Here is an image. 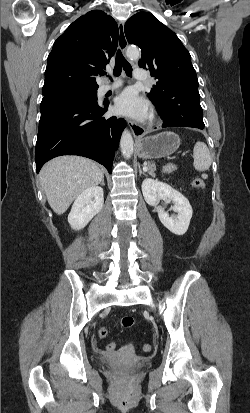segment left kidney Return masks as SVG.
<instances>
[{"mask_svg": "<svg viewBox=\"0 0 250 413\" xmlns=\"http://www.w3.org/2000/svg\"><path fill=\"white\" fill-rule=\"evenodd\" d=\"M142 193L147 204L154 206L161 223L172 233L183 235L188 230L192 218V207L188 199L170 185L146 178L142 182ZM160 200H171L174 203L172 210L178 214L170 217L169 214L159 206Z\"/></svg>", "mask_w": 250, "mask_h": 413, "instance_id": "5707ae66", "label": "left kidney"}]
</instances>
